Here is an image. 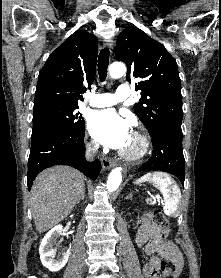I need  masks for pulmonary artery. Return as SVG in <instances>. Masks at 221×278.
Returning <instances> with one entry per match:
<instances>
[{
  "label": "pulmonary artery",
  "instance_id": "obj_1",
  "mask_svg": "<svg viewBox=\"0 0 221 278\" xmlns=\"http://www.w3.org/2000/svg\"><path fill=\"white\" fill-rule=\"evenodd\" d=\"M130 97V89L127 84H121L114 94L98 93L90 94L88 104L92 107H109Z\"/></svg>",
  "mask_w": 221,
  "mask_h": 278
}]
</instances>
